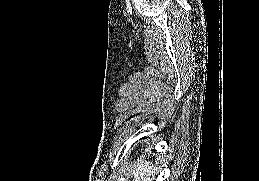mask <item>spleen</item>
Masks as SVG:
<instances>
[{
	"instance_id": "3e777b00",
	"label": "spleen",
	"mask_w": 259,
	"mask_h": 181,
	"mask_svg": "<svg viewBox=\"0 0 259 181\" xmlns=\"http://www.w3.org/2000/svg\"><path fill=\"white\" fill-rule=\"evenodd\" d=\"M151 164L143 159L136 160L131 171V175L134 176L132 181H152L157 174V169Z\"/></svg>"
}]
</instances>
